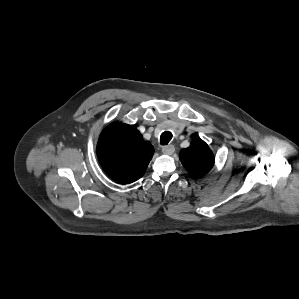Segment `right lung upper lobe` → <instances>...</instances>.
<instances>
[{"label": "right lung upper lobe", "mask_w": 299, "mask_h": 299, "mask_svg": "<svg viewBox=\"0 0 299 299\" xmlns=\"http://www.w3.org/2000/svg\"><path fill=\"white\" fill-rule=\"evenodd\" d=\"M154 154L132 125L113 122L101 133L97 144L99 162L109 177L120 183L141 178Z\"/></svg>", "instance_id": "right-lung-upper-lobe-1"}]
</instances>
